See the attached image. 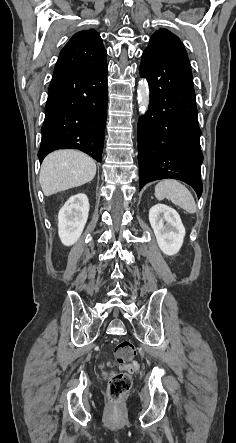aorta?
<instances>
[{
	"label": "aorta",
	"mask_w": 236,
	"mask_h": 443,
	"mask_svg": "<svg viewBox=\"0 0 236 443\" xmlns=\"http://www.w3.org/2000/svg\"><path fill=\"white\" fill-rule=\"evenodd\" d=\"M138 106L141 114H145L149 107L150 92L146 82H141L138 86Z\"/></svg>",
	"instance_id": "obj_1"
}]
</instances>
